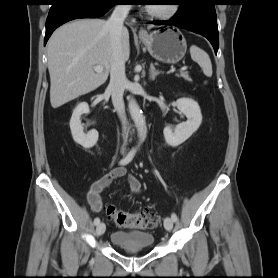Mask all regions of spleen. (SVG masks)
Returning <instances> with one entry per match:
<instances>
[{
    "mask_svg": "<svg viewBox=\"0 0 278 278\" xmlns=\"http://www.w3.org/2000/svg\"><path fill=\"white\" fill-rule=\"evenodd\" d=\"M192 59L197 62L207 77L212 76V64L209 55L199 47L193 45L190 48Z\"/></svg>",
    "mask_w": 278,
    "mask_h": 278,
    "instance_id": "spleen-1",
    "label": "spleen"
}]
</instances>
